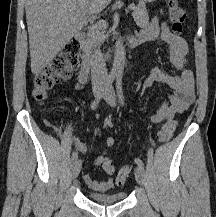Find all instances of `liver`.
Listing matches in <instances>:
<instances>
[{"label":"liver","mask_w":216,"mask_h":217,"mask_svg":"<svg viewBox=\"0 0 216 217\" xmlns=\"http://www.w3.org/2000/svg\"><path fill=\"white\" fill-rule=\"evenodd\" d=\"M111 0H25L31 71L39 74L83 27L88 14Z\"/></svg>","instance_id":"6515ba94"}]
</instances>
